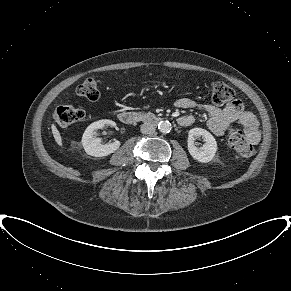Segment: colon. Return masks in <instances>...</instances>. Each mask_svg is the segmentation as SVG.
<instances>
[{
	"label": "colon",
	"instance_id": "5ec220e1",
	"mask_svg": "<svg viewBox=\"0 0 291 291\" xmlns=\"http://www.w3.org/2000/svg\"><path fill=\"white\" fill-rule=\"evenodd\" d=\"M211 98L215 105H223L234 98V90L227 84L214 81L210 84ZM76 94L90 101L99 98V85L95 78H87L76 88ZM84 111L70 105L58 106L54 111V120L61 126H70L84 118ZM228 141L235 152L236 158H249L254 154L253 144L246 138L245 134L239 130L230 128Z\"/></svg>",
	"mask_w": 291,
	"mask_h": 291
}]
</instances>
